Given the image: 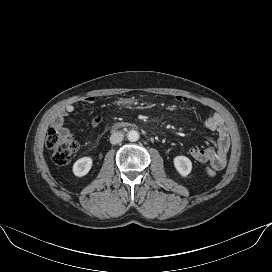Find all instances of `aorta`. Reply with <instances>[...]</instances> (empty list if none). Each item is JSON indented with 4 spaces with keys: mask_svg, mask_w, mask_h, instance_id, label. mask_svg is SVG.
I'll use <instances>...</instances> for the list:
<instances>
[{
    "mask_svg": "<svg viewBox=\"0 0 272 272\" xmlns=\"http://www.w3.org/2000/svg\"><path fill=\"white\" fill-rule=\"evenodd\" d=\"M127 137H128L129 141L135 142V141H138V139H139V133L135 130H131V131H129Z\"/></svg>",
    "mask_w": 272,
    "mask_h": 272,
    "instance_id": "762f6f07",
    "label": "aorta"
}]
</instances>
